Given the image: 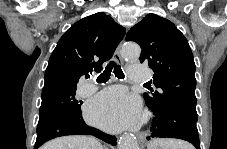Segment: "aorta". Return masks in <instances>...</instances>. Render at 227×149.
<instances>
[{
    "label": "aorta",
    "mask_w": 227,
    "mask_h": 149,
    "mask_svg": "<svg viewBox=\"0 0 227 149\" xmlns=\"http://www.w3.org/2000/svg\"><path fill=\"white\" fill-rule=\"evenodd\" d=\"M140 47L136 44H127L122 49V57L128 61H135L140 56ZM118 149H139L136 138L131 134L121 137Z\"/></svg>",
    "instance_id": "1"
}]
</instances>
